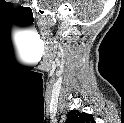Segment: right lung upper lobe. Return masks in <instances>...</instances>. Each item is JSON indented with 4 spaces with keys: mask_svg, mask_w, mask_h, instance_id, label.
Masks as SVG:
<instances>
[{
    "mask_svg": "<svg viewBox=\"0 0 124 123\" xmlns=\"http://www.w3.org/2000/svg\"><path fill=\"white\" fill-rule=\"evenodd\" d=\"M93 116L77 110H72L68 113L66 123H93Z\"/></svg>",
    "mask_w": 124,
    "mask_h": 123,
    "instance_id": "right-lung-upper-lobe-1",
    "label": "right lung upper lobe"
}]
</instances>
